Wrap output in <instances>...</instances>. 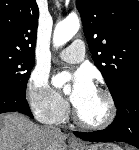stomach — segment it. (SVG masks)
I'll use <instances>...</instances> for the list:
<instances>
[{"label":"stomach","instance_id":"stomach-1","mask_svg":"<svg viewBox=\"0 0 139 150\" xmlns=\"http://www.w3.org/2000/svg\"><path fill=\"white\" fill-rule=\"evenodd\" d=\"M72 150H121V149L115 146L114 144L100 143L83 147L72 146Z\"/></svg>","mask_w":139,"mask_h":150}]
</instances>
